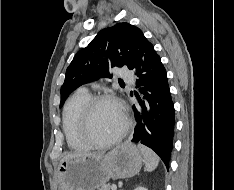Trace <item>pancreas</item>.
<instances>
[{
  "mask_svg": "<svg viewBox=\"0 0 234 190\" xmlns=\"http://www.w3.org/2000/svg\"><path fill=\"white\" fill-rule=\"evenodd\" d=\"M110 187L111 186L108 184V185H104V186L98 188V190H110Z\"/></svg>",
  "mask_w": 234,
  "mask_h": 190,
  "instance_id": "1",
  "label": "pancreas"
}]
</instances>
